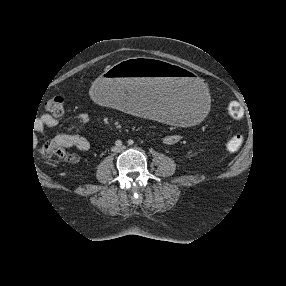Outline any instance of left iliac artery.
Instances as JSON below:
<instances>
[{
  "label": "left iliac artery",
  "mask_w": 286,
  "mask_h": 286,
  "mask_svg": "<svg viewBox=\"0 0 286 286\" xmlns=\"http://www.w3.org/2000/svg\"><path fill=\"white\" fill-rule=\"evenodd\" d=\"M133 143H134V141H133V140H131V139H130V140H128V144H129V145H133Z\"/></svg>",
  "instance_id": "obj_1"
}]
</instances>
